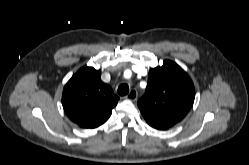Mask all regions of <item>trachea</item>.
<instances>
[{
    "label": "trachea",
    "instance_id": "trachea-1",
    "mask_svg": "<svg viewBox=\"0 0 249 165\" xmlns=\"http://www.w3.org/2000/svg\"><path fill=\"white\" fill-rule=\"evenodd\" d=\"M128 92H129V87H128L127 84H121V85H119V87H118V94L120 96H125V95L128 94Z\"/></svg>",
    "mask_w": 249,
    "mask_h": 165
}]
</instances>
